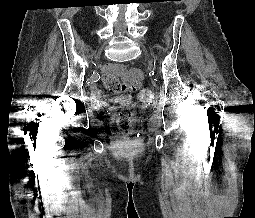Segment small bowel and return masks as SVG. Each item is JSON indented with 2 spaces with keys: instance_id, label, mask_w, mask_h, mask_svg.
<instances>
[{
  "instance_id": "c3829d8e",
  "label": "small bowel",
  "mask_w": 255,
  "mask_h": 218,
  "mask_svg": "<svg viewBox=\"0 0 255 218\" xmlns=\"http://www.w3.org/2000/svg\"><path fill=\"white\" fill-rule=\"evenodd\" d=\"M103 78H115L118 80L132 82V81H140L142 78V74H141V71L137 68L127 69L122 64L110 63V64H107L104 68ZM92 95L97 100L102 98L101 92L97 87H93ZM126 100H128L127 97H120L113 100V102L121 103Z\"/></svg>"
}]
</instances>
